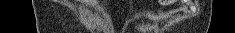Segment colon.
<instances>
[{"mask_svg": "<svg viewBox=\"0 0 235 33\" xmlns=\"http://www.w3.org/2000/svg\"><path fill=\"white\" fill-rule=\"evenodd\" d=\"M174 1L173 0H165V1H163V3H165V4H170V3H173Z\"/></svg>", "mask_w": 235, "mask_h": 33, "instance_id": "colon-1", "label": "colon"}]
</instances>
